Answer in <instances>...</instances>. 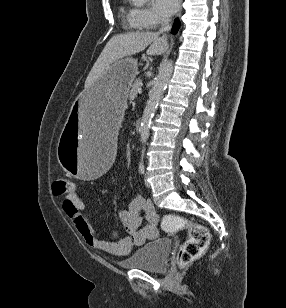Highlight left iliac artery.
Returning <instances> with one entry per match:
<instances>
[{"label": "left iliac artery", "instance_id": "left-iliac-artery-1", "mask_svg": "<svg viewBox=\"0 0 286 308\" xmlns=\"http://www.w3.org/2000/svg\"><path fill=\"white\" fill-rule=\"evenodd\" d=\"M144 152H145V148L142 149L141 162L139 164V172L141 174H144V172H145V166H144V162H143Z\"/></svg>", "mask_w": 286, "mask_h": 308}]
</instances>
